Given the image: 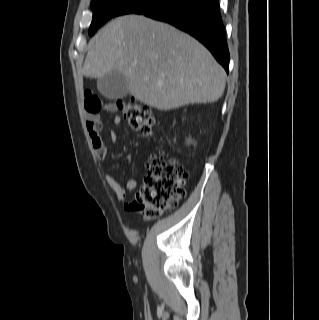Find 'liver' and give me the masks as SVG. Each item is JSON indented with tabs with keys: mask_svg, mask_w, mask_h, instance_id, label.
I'll use <instances>...</instances> for the list:
<instances>
[{
	"mask_svg": "<svg viewBox=\"0 0 319 320\" xmlns=\"http://www.w3.org/2000/svg\"><path fill=\"white\" fill-rule=\"evenodd\" d=\"M84 76H126L131 95L159 110L212 103L223 94L224 69L196 39L142 15L118 17L88 44Z\"/></svg>",
	"mask_w": 319,
	"mask_h": 320,
	"instance_id": "obj_1",
	"label": "liver"
}]
</instances>
